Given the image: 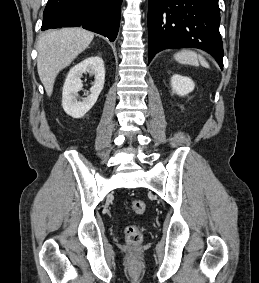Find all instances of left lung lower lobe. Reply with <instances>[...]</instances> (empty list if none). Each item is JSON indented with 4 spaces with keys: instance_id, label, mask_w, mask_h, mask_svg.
Instances as JSON below:
<instances>
[{
    "instance_id": "obj_1",
    "label": "left lung lower lobe",
    "mask_w": 259,
    "mask_h": 283,
    "mask_svg": "<svg viewBox=\"0 0 259 283\" xmlns=\"http://www.w3.org/2000/svg\"><path fill=\"white\" fill-rule=\"evenodd\" d=\"M218 0H149V62L168 48H199L223 68ZM148 62V63H149Z\"/></svg>"
}]
</instances>
